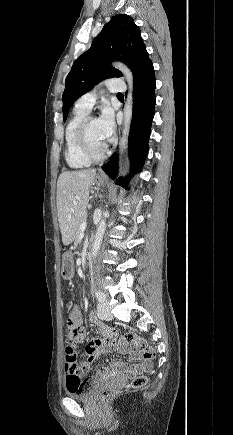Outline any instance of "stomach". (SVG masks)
Here are the masks:
<instances>
[{
	"label": "stomach",
	"mask_w": 233,
	"mask_h": 435,
	"mask_svg": "<svg viewBox=\"0 0 233 435\" xmlns=\"http://www.w3.org/2000/svg\"><path fill=\"white\" fill-rule=\"evenodd\" d=\"M104 180V177L97 176L95 184L101 186L104 183ZM61 276L66 280H69L74 276V261L71 252H66L62 256Z\"/></svg>",
	"instance_id": "1"
}]
</instances>
